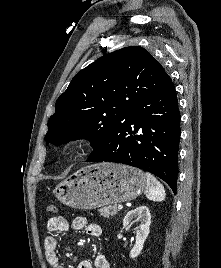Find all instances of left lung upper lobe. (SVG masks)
<instances>
[{
  "label": "left lung upper lobe",
  "instance_id": "obj_1",
  "mask_svg": "<svg viewBox=\"0 0 221 268\" xmlns=\"http://www.w3.org/2000/svg\"><path fill=\"white\" fill-rule=\"evenodd\" d=\"M170 82L159 62L139 46L106 54L78 72L59 96L46 142L58 146L86 138L94 148L91 158L125 112Z\"/></svg>",
  "mask_w": 221,
  "mask_h": 268
}]
</instances>
